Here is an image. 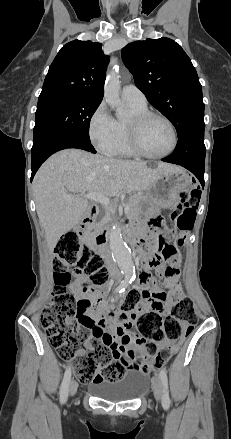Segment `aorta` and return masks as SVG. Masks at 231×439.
<instances>
[{"instance_id": "1", "label": "aorta", "mask_w": 231, "mask_h": 439, "mask_svg": "<svg viewBox=\"0 0 231 439\" xmlns=\"http://www.w3.org/2000/svg\"><path fill=\"white\" fill-rule=\"evenodd\" d=\"M104 98L108 105L116 110V117L122 119L125 115L120 100L119 72L116 67L107 74L104 85ZM109 243L112 256L123 274L131 278L135 275V266L131 251L122 238L121 228L115 223L109 233Z\"/></svg>"}]
</instances>
